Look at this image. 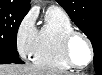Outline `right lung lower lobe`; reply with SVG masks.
Returning a JSON list of instances; mask_svg holds the SVG:
<instances>
[{
    "label": "right lung lower lobe",
    "instance_id": "98d812e1",
    "mask_svg": "<svg viewBox=\"0 0 102 75\" xmlns=\"http://www.w3.org/2000/svg\"><path fill=\"white\" fill-rule=\"evenodd\" d=\"M7 63L21 64L24 62L17 55H8V54L1 55L0 64H7Z\"/></svg>",
    "mask_w": 102,
    "mask_h": 75
}]
</instances>
